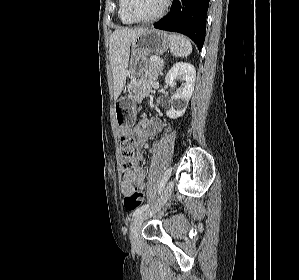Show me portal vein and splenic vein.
I'll return each mask as SVG.
<instances>
[{"instance_id":"1","label":"portal vein and splenic vein","mask_w":299,"mask_h":280,"mask_svg":"<svg viewBox=\"0 0 299 280\" xmlns=\"http://www.w3.org/2000/svg\"><path fill=\"white\" fill-rule=\"evenodd\" d=\"M151 61H160L161 62V59L157 56H153L150 58Z\"/></svg>"}]
</instances>
